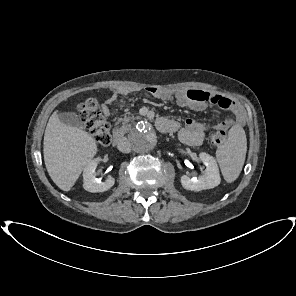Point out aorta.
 Wrapping results in <instances>:
<instances>
[{
    "instance_id": "1",
    "label": "aorta",
    "mask_w": 296,
    "mask_h": 296,
    "mask_svg": "<svg viewBox=\"0 0 296 296\" xmlns=\"http://www.w3.org/2000/svg\"><path fill=\"white\" fill-rule=\"evenodd\" d=\"M131 148L138 153H148L159 144V135L147 122H139L129 134Z\"/></svg>"
}]
</instances>
